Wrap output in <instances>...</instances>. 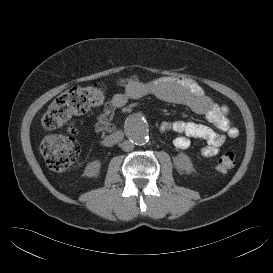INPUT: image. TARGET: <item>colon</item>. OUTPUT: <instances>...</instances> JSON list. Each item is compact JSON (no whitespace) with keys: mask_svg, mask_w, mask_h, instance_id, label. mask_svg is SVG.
I'll return each instance as SVG.
<instances>
[{"mask_svg":"<svg viewBox=\"0 0 273 273\" xmlns=\"http://www.w3.org/2000/svg\"><path fill=\"white\" fill-rule=\"evenodd\" d=\"M106 94L107 87L103 83L70 90L51 103L42 118V125L49 130L60 128L70 118L101 105ZM40 149L47 166L54 171L67 169L80 154L78 143L69 136H48L43 139ZM234 164V153L227 151L218 158L217 168L227 171L233 168Z\"/></svg>","mask_w":273,"mask_h":273,"instance_id":"1","label":"colon"}]
</instances>
